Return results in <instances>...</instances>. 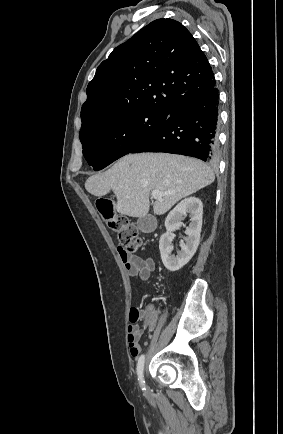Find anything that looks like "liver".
<instances>
[{
  "mask_svg": "<svg viewBox=\"0 0 283 434\" xmlns=\"http://www.w3.org/2000/svg\"><path fill=\"white\" fill-rule=\"evenodd\" d=\"M214 179L212 169L200 160L168 153H138L125 155L107 171L90 176L85 188L97 197L112 190L117 212L140 218L149 211L152 191L164 194L153 205L154 213L162 215Z\"/></svg>",
  "mask_w": 283,
  "mask_h": 434,
  "instance_id": "liver-1",
  "label": "liver"
}]
</instances>
